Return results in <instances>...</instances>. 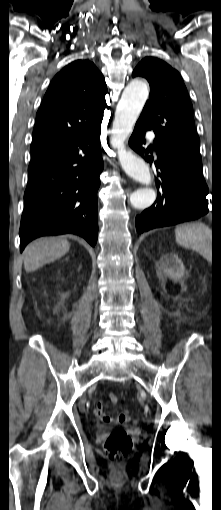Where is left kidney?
Masks as SVG:
<instances>
[{"label": "left kidney", "mask_w": 221, "mask_h": 510, "mask_svg": "<svg viewBox=\"0 0 221 510\" xmlns=\"http://www.w3.org/2000/svg\"><path fill=\"white\" fill-rule=\"evenodd\" d=\"M160 269L165 275L174 280L181 279L185 273L183 262L173 253L165 254L161 257Z\"/></svg>", "instance_id": "5707ae66"}]
</instances>
